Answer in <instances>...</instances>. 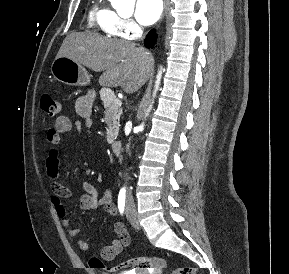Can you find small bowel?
Masks as SVG:
<instances>
[{"instance_id": "c3829d8e", "label": "small bowel", "mask_w": 289, "mask_h": 274, "mask_svg": "<svg viewBox=\"0 0 289 274\" xmlns=\"http://www.w3.org/2000/svg\"><path fill=\"white\" fill-rule=\"evenodd\" d=\"M92 97L85 96L80 98L76 102V111L80 117L84 119V124L77 122L75 128L77 131H81L83 126L87 129L91 128V112H92ZM73 124L70 118L67 116L58 117L52 126L49 127L46 133V140L49 144L48 155L46 157V172L50 179V186L52 191L51 203L60 218L62 225L67 228V232L71 237H77L80 233L79 229L73 227L68 219V212L63 203L64 199L70 198L72 195L71 190L64 186L60 182L59 174V143L61 141L62 134L71 130ZM83 192L79 198V207L82 210H93L98 207H103L106 213L111 216L117 215V208L113 202V195L110 189H106L102 197H98L95 187L89 183L84 182L82 184ZM114 231L117 238L114 239L109 245L104 246L101 249V258L105 261L114 260L124 248L130 244L129 234L124 225L116 221L114 223ZM77 246L82 251L89 249V244L86 240L79 238L77 240Z\"/></svg>"}]
</instances>
